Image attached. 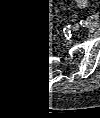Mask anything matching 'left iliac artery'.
<instances>
[{
	"label": "left iliac artery",
	"instance_id": "left-iliac-artery-1",
	"mask_svg": "<svg viewBox=\"0 0 100 118\" xmlns=\"http://www.w3.org/2000/svg\"><path fill=\"white\" fill-rule=\"evenodd\" d=\"M80 25L83 26V27H85V26H87V22L84 21V20H81V21H80Z\"/></svg>",
	"mask_w": 100,
	"mask_h": 118
}]
</instances>
